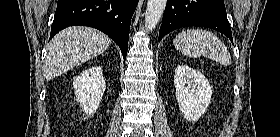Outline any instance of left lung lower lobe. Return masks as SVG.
<instances>
[{
	"label": "left lung lower lobe",
	"mask_w": 280,
	"mask_h": 137,
	"mask_svg": "<svg viewBox=\"0 0 280 137\" xmlns=\"http://www.w3.org/2000/svg\"><path fill=\"white\" fill-rule=\"evenodd\" d=\"M186 26L217 30L233 43L223 0H168L158 41L169 32Z\"/></svg>",
	"instance_id": "1"
}]
</instances>
